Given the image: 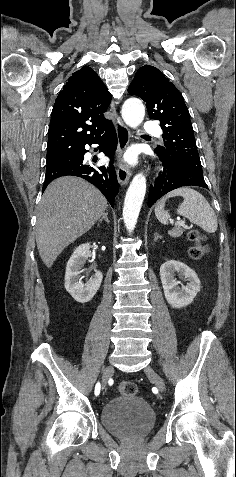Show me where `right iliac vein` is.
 <instances>
[{
	"instance_id": "1",
	"label": "right iliac vein",
	"mask_w": 236,
	"mask_h": 477,
	"mask_svg": "<svg viewBox=\"0 0 236 477\" xmlns=\"http://www.w3.org/2000/svg\"><path fill=\"white\" fill-rule=\"evenodd\" d=\"M112 372H113V367L111 365H108V366L105 367V369L103 371V374H102L101 392H104V390L106 389L108 379H109L110 375L112 374Z\"/></svg>"
}]
</instances>
